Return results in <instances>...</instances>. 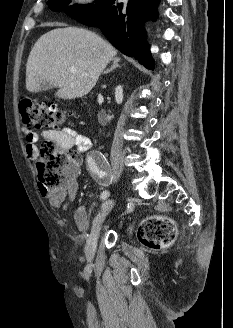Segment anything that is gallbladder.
I'll list each match as a JSON object with an SVG mask.
<instances>
[{
  "label": "gallbladder",
  "instance_id": "obj_1",
  "mask_svg": "<svg viewBox=\"0 0 233 328\" xmlns=\"http://www.w3.org/2000/svg\"><path fill=\"white\" fill-rule=\"evenodd\" d=\"M41 87L43 88V90H50V89H52V85L50 84V83H48V82H45V83H41Z\"/></svg>",
  "mask_w": 233,
  "mask_h": 328
}]
</instances>
